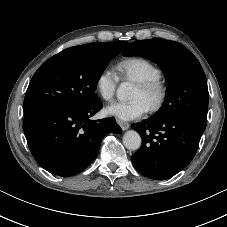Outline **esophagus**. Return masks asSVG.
I'll list each match as a JSON object with an SVG mask.
<instances>
[{
    "instance_id": "34e87169",
    "label": "esophagus",
    "mask_w": 227,
    "mask_h": 227,
    "mask_svg": "<svg viewBox=\"0 0 227 227\" xmlns=\"http://www.w3.org/2000/svg\"><path fill=\"white\" fill-rule=\"evenodd\" d=\"M118 125L121 127L122 130H127L130 127V124L121 120L117 119Z\"/></svg>"
}]
</instances>
